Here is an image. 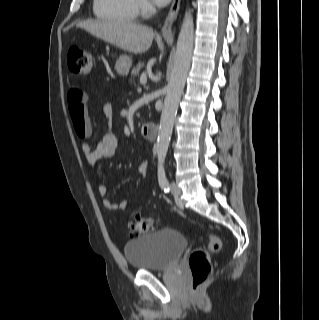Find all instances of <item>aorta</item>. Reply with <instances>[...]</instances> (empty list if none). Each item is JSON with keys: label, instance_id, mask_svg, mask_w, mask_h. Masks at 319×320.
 Listing matches in <instances>:
<instances>
[{"label": "aorta", "instance_id": "obj_1", "mask_svg": "<svg viewBox=\"0 0 319 320\" xmlns=\"http://www.w3.org/2000/svg\"><path fill=\"white\" fill-rule=\"evenodd\" d=\"M193 46L194 23L191 11L188 10L185 12L177 40L174 65L167 85L164 107L160 119L157 139V159L160 167L164 164L170 144L178 105L184 90L187 74L190 69Z\"/></svg>", "mask_w": 319, "mask_h": 320}]
</instances>
